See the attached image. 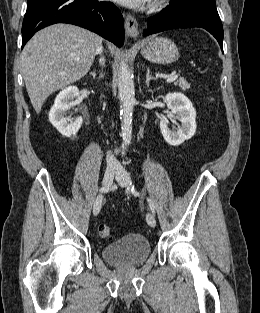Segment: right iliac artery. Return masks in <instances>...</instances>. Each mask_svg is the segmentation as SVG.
Listing matches in <instances>:
<instances>
[{"label": "right iliac artery", "instance_id": "obj_1", "mask_svg": "<svg viewBox=\"0 0 260 313\" xmlns=\"http://www.w3.org/2000/svg\"><path fill=\"white\" fill-rule=\"evenodd\" d=\"M102 191H108V189H101Z\"/></svg>", "mask_w": 260, "mask_h": 313}]
</instances>
